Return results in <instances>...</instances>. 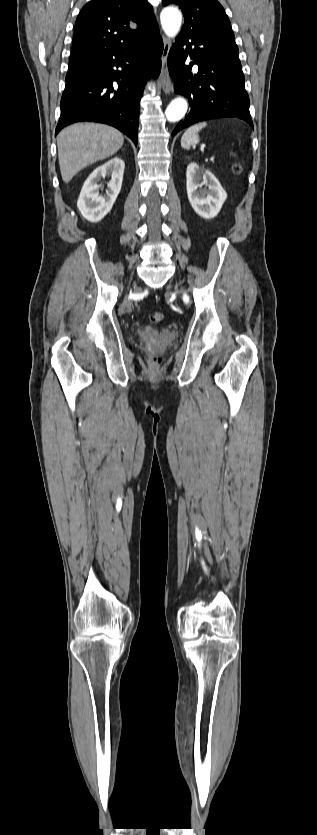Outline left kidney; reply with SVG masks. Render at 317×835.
<instances>
[{
	"instance_id": "5707ae66",
	"label": "left kidney",
	"mask_w": 317,
	"mask_h": 835,
	"mask_svg": "<svg viewBox=\"0 0 317 835\" xmlns=\"http://www.w3.org/2000/svg\"><path fill=\"white\" fill-rule=\"evenodd\" d=\"M186 189L193 210L204 219L216 217L227 199L217 178L195 162L187 166Z\"/></svg>"
}]
</instances>
